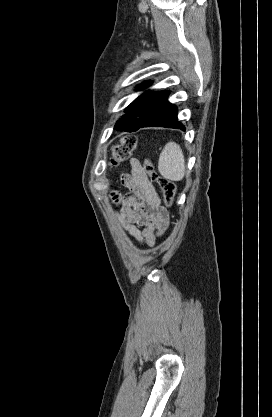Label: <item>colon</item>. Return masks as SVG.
Instances as JSON below:
<instances>
[{"label": "colon", "instance_id": "obj_1", "mask_svg": "<svg viewBox=\"0 0 272 417\" xmlns=\"http://www.w3.org/2000/svg\"><path fill=\"white\" fill-rule=\"evenodd\" d=\"M137 142L133 136L123 137L118 144H116L111 151V164L118 165L124 160H126L131 153L136 149ZM144 171L149 175L151 181L157 183L163 191L164 201L167 207L173 205L174 197L176 194V184L162 176H159L154 168L152 163L149 160H146L143 165Z\"/></svg>", "mask_w": 272, "mask_h": 417}]
</instances>
